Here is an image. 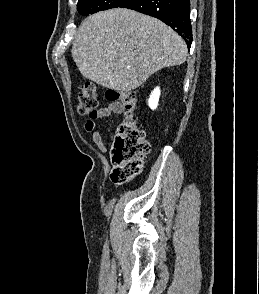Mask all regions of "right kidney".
<instances>
[{"instance_id":"1","label":"right kidney","mask_w":259,"mask_h":294,"mask_svg":"<svg viewBox=\"0 0 259 294\" xmlns=\"http://www.w3.org/2000/svg\"><path fill=\"white\" fill-rule=\"evenodd\" d=\"M159 97H160V89H159V87H156L153 91H152V93H151V95H150V98H149V100H148V104H149V107L151 108V109H156L157 108V106H158V102H159Z\"/></svg>"}]
</instances>
